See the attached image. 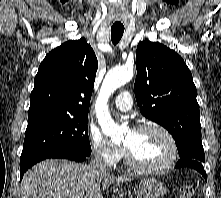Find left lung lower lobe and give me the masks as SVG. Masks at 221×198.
Masks as SVG:
<instances>
[{
	"instance_id": "1",
	"label": "left lung lower lobe",
	"mask_w": 221,
	"mask_h": 198,
	"mask_svg": "<svg viewBox=\"0 0 221 198\" xmlns=\"http://www.w3.org/2000/svg\"><path fill=\"white\" fill-rule=\"evenodd\" d=\"M176 167H190L193 169H196L197 171H199L202 176L205 178V180H207L206 177V172L204 171L202 162L198 161V160H193V159H180L177 164Z\"/></svg>"
}]
</instances>
